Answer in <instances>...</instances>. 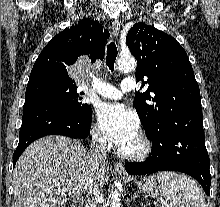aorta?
<instances>
[{
    "label": "aorta",
    "instance_id": "1",
    "mask_svg": "<svg viewBox=\"0 0 220 207\" xmlns=\"http://www.w3.org/2000/svg\"><path fill=\"white\" fill-rule=\"evenodd\" d=\"M136 66L137 62L133 57H121L117 61V69L119 71H135ZM111 198V207H121L120 193L118 190L112 192Z\"/></svg>",
    "mask_w": 220,
    "mask_h": 207
}]
</instances>
